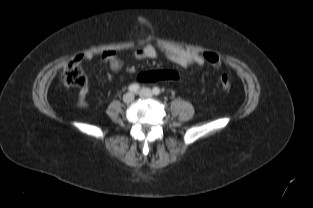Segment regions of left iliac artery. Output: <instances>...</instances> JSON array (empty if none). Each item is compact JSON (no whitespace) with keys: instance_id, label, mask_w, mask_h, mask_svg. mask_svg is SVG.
<instances>
[{"instance_id":"obj_1","label":"left iliac artery","mask_w":313,"mask_h":208,"mask_svg":"<svg viewBox=\"0 0 313 208\" xmlns=\"http://www.w3.org/2000/svg\"><path fill=\"white\" fill-rule=\"evenodd\" d=\"M152 91H153V94H155V95H159L161 92L158 87H154Z\"/></svg>"}]
</instances>
